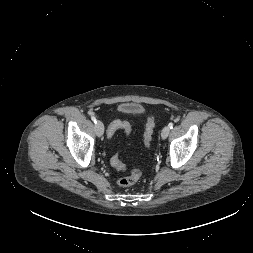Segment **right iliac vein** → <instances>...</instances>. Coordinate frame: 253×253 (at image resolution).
Here are the masks:
<instances>
[{"label": "right iliac vein", "mask_w": 253, "mask_h": 253, "mask_svg": "<svg viewBox=\"0 0 253 253\" xmlns=\"http://www.w3.org/2000/svg\"><path fill=\"white\" fill-rule=\"evenodd\" d=\"M95 129H96L97 136L101 137L103 135V133H104V125H103V123L101 121H98L96 123Z\"/></svg>", "instance_id": "63e3f726"}]
</instances>
